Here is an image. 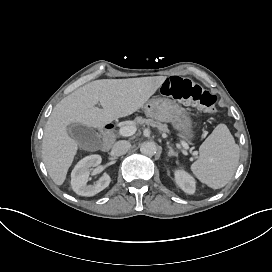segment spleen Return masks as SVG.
Instances as JSON below:
<instances>
[{
	"label": "spleen",
	"mask_w": 272,
	"mask_h": 272,
	"mask_svg": "<svg viewBox=\"0 0 272 272\" xmlns=\"http://www.w3.org/2000/svg\"><path fill=\"white\" fill-rule=\"evenodd\" d=\"M240 151L227 126L218 124L199 147V157L190 165L192 174L212 189L224 187L239 163Z\"/></svg>",
	"instance_id": "obj_1"
}]
</instances>
